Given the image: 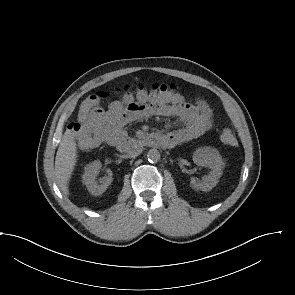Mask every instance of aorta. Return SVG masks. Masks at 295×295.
<instances>
[{
  "label": "aorta",
  "mask_w": 295,
  "mask_h": 295,
  "mask_svg": "<svg viewBox=\"0 0 295 295\" xmlns=\"http://www.w3.org/2000/svg\"><path fill=\"white\" fill-rule=\"evenodd\" d=\"M147 158L149 162H158L160 160V152L156 149H150L147 152Z\"/></svg>",
  "instance_id": "obj_1"
}]
</instances>
